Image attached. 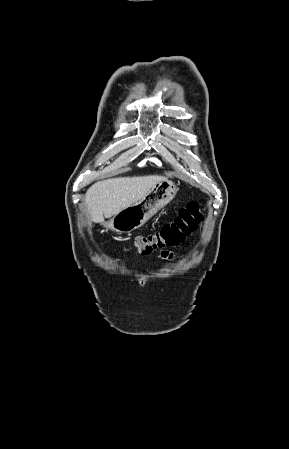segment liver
<instances>
[{
	"label": "liver",
	"instance_id": "liver-1",
	"mask_svg": "<svg viewBox=\"0 0 289 449\" xmlns=\"http://www.w3.org/2000/svg\"><path fill=\"white\" fill-rule=\"evenodd\" d=\"M166 178L158 175L119 177L92 185L85 195V205L94 223H103L121 210L142 199Z\"/></svg>",
	"mask_w": 289,
	"mask_h": 449
}]
</instances>
